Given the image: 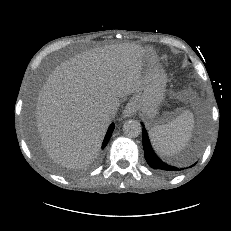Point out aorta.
Wrapping results in <instances>:
<instances>
[{
  "label": "aorta",
  "mask_w": 231,
  "mask_h": 231,
  "mask_svg": "<svg viewBox=\"0 0 231 231\" xmlns=\"http://www.w3.org/2000/svg\"><path fill=\"white\" fill-rule=\"evenodd\" d=\"M123 132L129 138L138 137L142 132L141 124L137 120L126 121L123 125Z\"/></svg>",
  "instance_id": "762f6f07"
}]
</instances>
